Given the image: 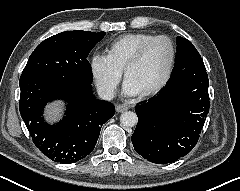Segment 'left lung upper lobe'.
<instances>
[{
    "mask_svg": "<svg viewBox=\"0 0 240 191\" xmlns=\"http://www.w3.org/2000/svg\"><path fill=\"white\" fill-rule=\"evenodd\" d=\"M176 43L177 53L175 66L181 65L184 67L190 66L206 69L200 54L189 40L178 36Z\"/></svg>",
    "mask_w": 240,
    "mask_h": 191,
    "instance_id": "left-lung-upper-lobe-1",
    "label": "left lung upper lobe"
}]
</instances>
